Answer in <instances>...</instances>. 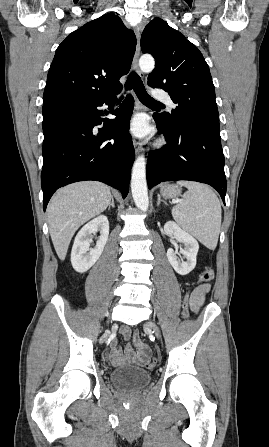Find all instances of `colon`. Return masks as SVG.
I'll return each instance as SVG.
<instances>
[{
	"label": "colon",
	"instance_id": "1",
	"mask_svg": "<svg viewBox=\"0 0 269 447\" xmlns=\"http://www.w3.org/2000/svg\"><path fill=\"white\" fill-rule=\"evenodd\" d=\"M214 277H215L214 268L211 266H206L200 275L199 281L202 284H208L214 280ZM187 295H189V292H186V295H184L182 297V300H180L179 302V305L180 307H182V312L184 314H188L189 312V297ZM182 318L186 320L188 317L184 315ZM144 353L149 354V350L145 349ZM143 365L148 369H152L155 366V360L152 358H146L143 361Z\"/></svg>",
	"mask_w": 269,
	"mask_h": 447
}]
</instances>
